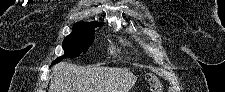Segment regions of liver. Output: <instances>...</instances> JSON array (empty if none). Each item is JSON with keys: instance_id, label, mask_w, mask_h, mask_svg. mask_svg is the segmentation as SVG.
Listing matches in <instances>:
<instances>
[{"instance_id": "liver-1", "label": "liver", "mask_w": 225, "mask_h": 92, "mask_svg": "<svg viewBox=\"0 0 225 92\" xmlns=\"http://www.w3.org/2000/svg\"><path fill=\"white\" fill-rule=\"evenodd\" d=\"M136 80L128 69L61 62L52 69L49 92H129Z\"/></svg>"}]
</instances>
